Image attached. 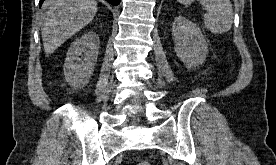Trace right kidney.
Returning a JSON list of instances; mask_svg holds the SVG:
<instances>
[{
	"instance_id": "ca27d5eb",
	"label": "right kidney",
	"mask_w": 276,
	"mask_h": 165,
	"mask_svg": "<svg viewBox=\"0 0 276 165\" xmlns=\"http://www.w3.org/2000/svg\"><path fill=\"white\" fill-rule=\"evenodd\" d=\"M99 36L90 31L71 43L64 63L66 82L73 88L89 83L99 53Z\"/></svg>"
}]
</instances>
